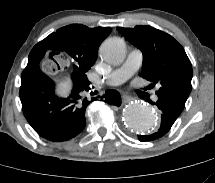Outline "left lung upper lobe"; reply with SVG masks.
<instances>
[{
	"mask_svg": "<svg viewBox=\"0 0 215 183\" xmlns=\"http://www.w3.org/2000/svg\"><path fill=\"white\" fill-rule=\"evenodd\" d=\"M117 30L143 53L141 76L159 87L156 95L183 110L191 92L192 66L183 47L170 35L150 26Z\"/></svg>",
	"mask_w": 215,
	"mask_h": 183,
	"instance_id": "1",
	"label": "left lung upper lobe"
}]
</instances>
